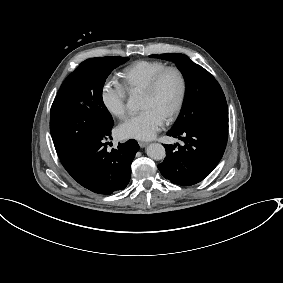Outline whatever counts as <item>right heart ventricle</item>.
Wrapping results in <instances>:
<instances>
[{
  "label": "right heart ventricle",
  "mask_w": 283,
  "mask_h": 283,
  "mask_svg": "<svg viewBox=\"0 0 283 283\" xmlns=\"http://www.w3.org/2000/svg\"><path fill=\"white\" fill-rule=\"evenodd\" d=\"M167 66V63L160 60H138L124 67L119 76L127 93L132 94L142 91L148 82Z\"/></svg>",
  "instance_id": "right-heart-ventricle-1"
}]
</instances>
